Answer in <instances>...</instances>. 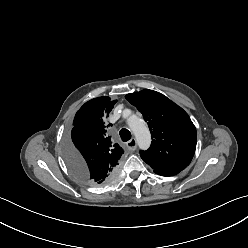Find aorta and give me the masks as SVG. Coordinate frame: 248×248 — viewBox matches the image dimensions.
I'll return each mask as SVG.
<instances>
[{
  "mask_svg": "<svg viewBox=\"0 0 248 248\" xmlns=\"http://www.w3.org/2000/svg\"><path fill=\"white\" fill-rule=\"evenodd\" d=\"M128 125L133 131L139 147L141 149L149 148L151 135L145 123L138 117H133L128 120Z\"/></svg>",
  "mask_w": 248,
  "mask_h": 248,
  "instance_id": "aorta-1",
  "label": "aorta"
}]
</instances>
